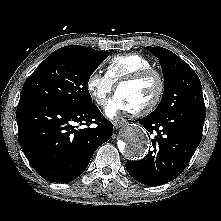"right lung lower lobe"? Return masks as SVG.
<instances>
[{
    "label": "right lung lower lobe",
    "instance_id": "obj_1",
    "mask_svg": "<svg viewBox=\"0 0 221 221\" xmlns=\"http://www.w3.org/2000/svg\"><path fill=\"white\" fill-rule=\"evenodd\" d=\"M19 144L32 167L50 182L67 183L81 175L96 149L113 134L95 104L73 108L20 100L16 112ZM96 123V128L79 125Z\"/></svg>",
    "mask_w": 221,
    "mask_h": 221
}]
</instances>
